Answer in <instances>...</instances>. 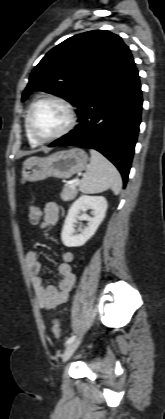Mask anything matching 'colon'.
I'll return each instance as SVG.
<instances>
[{
    "label": "colon",
    "mask_w": 165,
    "mask_h": 419,
    "mask_svg": "<svg viewBox=\"0 0 165 419\" xmlns=\"http://www.w3.org/2000/svg\"><path fill=\"white\" fill-rule=\"evenodd\" d=\"M41 217V210L37 205H31L29 207V218L32 224H37ZM52 332L56 338L61 336L60 324L57 320L52 323Z\"/></svg>",
    "instance_id": "1"
}]
</instances>
